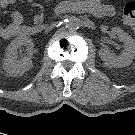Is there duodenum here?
<instances>
[{
	"label": "duodenum",
	"instance_id": "410a0bca",
	"mask_svg": "<svg viewBox=\"0 0 135 135\" xmlns=\"http://www.w3.org/2000/svg\"><path fill=\"white\" fill-rule=\"evenodd\" d=\"M24 31L27 32V30H26L25 28H24ZM30 31L33 32V29H30ZM40 32H41V29H38V30L36 31V33H40Z\"/></svg>",
	"mask_w": 135,
	"mask_h": 135
}]
</instances>
